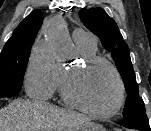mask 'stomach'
Wrapping results in <instances>:
<instances>
[{
    "label": "stomach",
    "instance_id": "0dacf381",
    "mask_svg": "<svg viewBox=\"0 0 151 131\" xmlns=\"http://www.w3.org/2000/svg\"><path fill=\"white\" fill-rule=\"evenodd\" d=\"M76 131H105V129L100 124L88 122L80 126Z\"/></svg>",
    "mask_w": 151,
    "mask_h": 131
}]
</instances>
